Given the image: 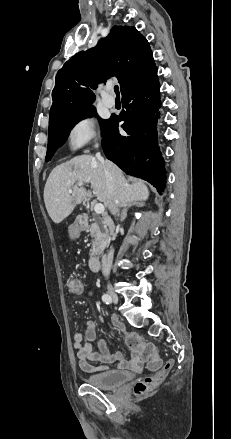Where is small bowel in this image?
I'll return each mask as SVG.
<instances>
[{
  "mask_svg": "<svg viewBox=\"0 0 231 439\" xmlns=\"http://www.w3.org/2000/svg\"><path fill=\"white\" fill-rule=\"evenodd\" d=\"M80 294V293H79ZM93 292L88 293L92 296ZM112 322L126 337L129 335L124 325L116 318ZM74 347L77 350L79 359V368L84 372H99L107 369V364H116L120 369H131L140 371L143 367V359L138 350L133 349L130 360H125L120 352L110 353L105 343L98 340L97 325L94 321H88L85 326V333H76L73 337ZM94 345L98 351H94ZM98 361L102 363L99 366H93L91 362Z\"/></svg>",
  "mask_w": 231,
  "mask_h": 439,
  "instance_id": "1",
  "label": "small bowel"
}]
</instances>
